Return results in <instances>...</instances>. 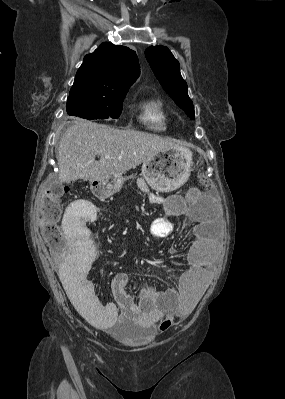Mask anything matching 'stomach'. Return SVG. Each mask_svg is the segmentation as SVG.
I'll use <instances>...</instances> for the list:
<instances>
[{"instance_id":"obj_1","label":"stomach","mask_w":285,"mask_h":399,"mask_svg":"<svg viewBox=\"0 0 285 399\" xmlns=\"http://www.w3.org/2000/svg\"><path fill=\"white\" fill-rule=\"evenodd\" d=\"M192 166V153L186 148H173L161 151L145 161L142 175L147 183L161 192L173 191L189 178ZM124 183L122 176L108 175L90 182L92 193L105 199L120 191Z\"/></svg>"}]
</instances>
